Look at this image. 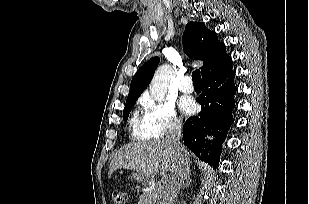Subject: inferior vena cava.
<instances>
[{"mask_svg":"<svg viewBox=\"0 0 309 204\" xmlns=\"http://www.w3.org/2000/svg\"><path fill=\"white\" fill-rule=\"evenodd\" d=\"M181 128L182 126L180 121H175L170 127L165 138V140L173 148L176 154L177 162L175 169L172 172L171 180L166 186L163 202L161 204H174L178 192L181 187L185 186V182L189 174L188 155L185 147L180 142Z\"/></svg>","mask_w":309,"mask_h":204,"instance_id":"obj_1","label":"inferior vena cava"}]
</instances>
